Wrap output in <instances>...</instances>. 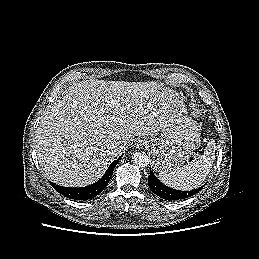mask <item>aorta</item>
<instances>
[{"mask_svg": "<svg viewBox=\"0 0 259 259\" xmlns=\"http://www.w3.org/2000/svg\"><path fill=\"white\" fill-rule=\"evenodd\" d=\"M134 163L140 167L144 168L149 165V158L145 152H135L132 156Z\"/></svg>", "mask_w": 259, "mask_h": 259, "instance_id": "1", "label": "aorta"}]
</instances>
